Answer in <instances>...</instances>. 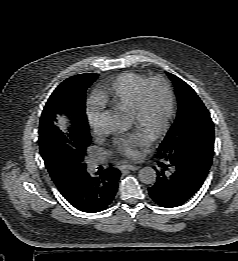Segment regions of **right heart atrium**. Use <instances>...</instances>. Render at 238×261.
Returning a JSON list of instances; mask_svg holds the SVG:
<instances>
[{
    "instance_id": "obj_1",
    "label": "right heart atrium",
    "mask_w": 238,
    "mask_h": 261,
    "mask_svg": "<svg viewBox=\"0 0 238 261\" xmlns=\"http://www.w3.org/2000/svg\"><path fill=\"white\" fill-rule=\"evenodd\" d=\"M88 124L95 135L101 134V114L97 107L91 106L87 110Z\"/></svg>"
}]
</instances>
